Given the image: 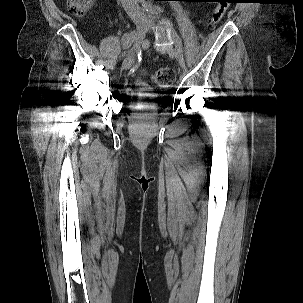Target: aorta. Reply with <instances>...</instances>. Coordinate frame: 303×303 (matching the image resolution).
<instances>
[{"label":"aorta","instance_id":"aorta-1","mask_svg":"<svg viewBox=\"0 0 303 303\" xmlns=\"http://www.w3.org/2000/svg\"><path fill=\"white\" fill-rule=\"evenodd\" d=\"M140 2H145V0H140Z\"/></svg>","mask_w":303,"mask_h":303}]
</instances>
